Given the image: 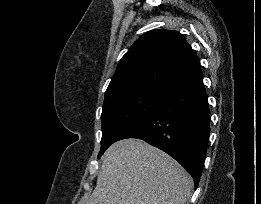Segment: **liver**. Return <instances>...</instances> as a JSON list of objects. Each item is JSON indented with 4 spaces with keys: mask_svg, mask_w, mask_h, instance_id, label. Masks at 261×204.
I'll return each mask as SVG.
<instances>
[{
    "mask_svg": "<svg viewBox=\"0 0 261 204\" xmlns=\"http://www.w3.org/2000/svg\"><path fill=\"white\" fill-rule=\"evenodd\" d=\"M193 180L168 154L139 139L112 144L96 187L80 204H185Z\"/></svg>",
    "mask_w": 261,
    "mask_h": 204,
    "instance_id": "liver-1",
    "label": "liver"
}]
</instances>
